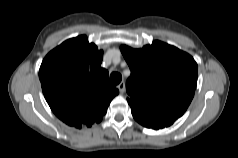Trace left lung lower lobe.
I'll return each mask as SVG.
<instances>
[{"label":"left lung lower lobe","mask_w":238,"mask_h":158,"mask_svg":"<svg viewBox=\"0 0 238 158\" xmlns=\"http://www.w3.org/2000/svg\"><path fill=\"white\" fill-rule=\"evenodd\" d=\"M134 119L140 123L141 125L147 127V128H153V129H161L164 127H168L175 120L178 118H150V117H145L137 114H133Z\"/></svg>","instance_id":"obj_1"}]
</instances>
